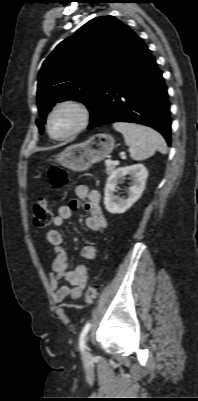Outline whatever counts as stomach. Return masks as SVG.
Wrapping results in <instances>:
<instances>
[{
    "mask_svg": "<svg viewBox=\"0 0 198 401\" xmlns=\"http://www.w3.org/2000/svg\"><path fill=\"white\" fill-rule=\"evenodd\" d=\"M115 140L107 133H97L82 143L64 149L56 162L72 171L81 172L105 159L114 149Z\"/></svg>",
    "mask_w": 198,
    "mask_h": 401,
    "instance_id": "0dacf381",
    "label": "stomach"
}]
</instances>
